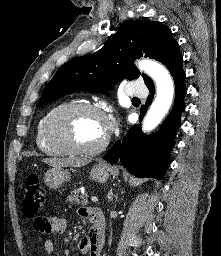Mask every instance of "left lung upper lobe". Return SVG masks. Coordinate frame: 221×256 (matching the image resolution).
<instances>
[{"label":"left lung upper lobe","instance_id":"left-lung-upper-lobe-1","mask_svg":"<svg viewBox=\"0 0 221 256\" xmlns=\"http://www.w3.org/2000/svg\"><path fill=\"white\" fill-rule=\"evenodd\" d=\"M142 56L163 63L171 75L182 69L183 57L168 27L158 21H128L101 50L61 66L45 86L37 106L80 89L107 93L123 79H137L141 73L133 59ZM142 77L147 87L153 84L145 74Z\"/></svg>","mask_w":221,"mask_h":256}]
</instances>
